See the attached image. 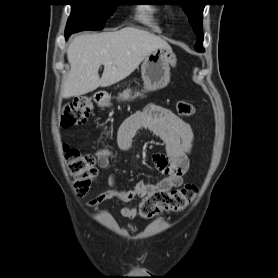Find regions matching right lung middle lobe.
I'll list each match as a JSON object with an SVG mask.
<instances>
[{"mask_svg": "<svg viewBox=\"0 0 278 278\" xmlns=\"http://www.w3.org/2000/svg\"><path fill=\"white\" fill-rule=\"evenodd\" d=\"M72 6L65 34L71 35L83 30L103 29L119 5V0H69Z\"/></svg>", "mask_w": 278, "mask_h": 278, "instance_id": "dd1d6c3e", "label": "right lung middle lobe"}]
</instances>
